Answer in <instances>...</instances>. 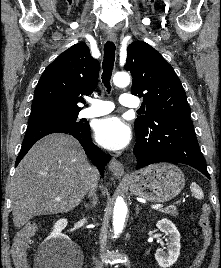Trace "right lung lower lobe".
Segmentation results:
<instances>
[{
	"label": "right lung lower lobe",
	"mask_w": 221,
	"mask_h": 268,
	"mask_svg": "<svg viewBox=\"0 0 221 268\" xmlns=\"http://www.w3.org/2000/svg\"><path fill=\"white\" fill-rule=\"evenodd\" d=\"M51 133H66L75 137L83 146L86 155L92 160L103 176L104 168L110 161L111 156L105 154L95 146L91 140L90 126L87 124L83 126H70L59 123L42 122L28 125L15 166L18 165L35 142Z\"/></svg>",
	"instance_id": "right-lung-lower-lobe-1"
}]
</instances>
